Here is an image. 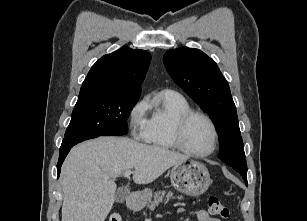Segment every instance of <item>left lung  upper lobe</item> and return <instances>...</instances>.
I'll return each instance as SVG.
<instances>
[{
    "instance_id": "5c2ea615",
    "label": "left lung upper lobe",
    "mask_w": 307,
    "mask_h": 221,
    "mask_svg": "<svg viewBox=\"0 0 307 221\" xmlns=\"http://www.w3.org/2000/svg\"><path fill=\"white\" fill-rule=\"evenodd\" d=\"M165 67L181 87L214 121L219 135V158L236 171L247 173L235 104L228 82L204 52L188 47L167 51Z\"/></svg>"
}]
</instances>
